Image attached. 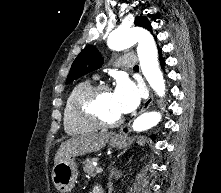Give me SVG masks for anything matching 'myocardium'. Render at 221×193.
Segmentation results:
<instances>
[{
  "label": "myocardium",
  "mask_w": 221,
  "mask_h": 193,
  "mask_svg": "<svg viewBox=\"0 0 221 193\" xmlns=\"http://www.w3.org/2000/svg\"><path fill=\"white\" fill-rule=\"evenodd\" d=\"M111 90L105 83L89 86L85 89L76 101V111L81 119L97 127H116L123 122V117L116 119H106L100 111L99 101L101 95Z\"/></svg>",
  "instance_id": "1"
}]
</instances>
